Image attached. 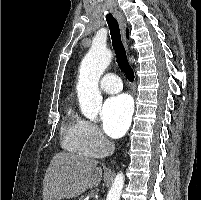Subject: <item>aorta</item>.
<instances>
[{"instance_id": "obj_1", "label": "aorta", "mask_w": 201, "mask_h": 200, "mask_svg": "<svg viewBox=\"0 0 201 200\" xmlns=\"http://www.w3.org/2000/svg\"><path fill=\"white\" fill-rule=\"evenodd\" d=\"M111 59L112 53L103 43L93 42L80 65L77 83L78 100L83 115L91 121H96L102 106L98 83ZM123 186L124 175L121 172L116 175L106 200H120Z\"/></svg>"}]
</instances>
